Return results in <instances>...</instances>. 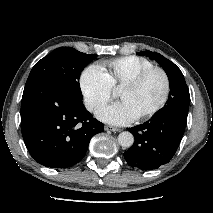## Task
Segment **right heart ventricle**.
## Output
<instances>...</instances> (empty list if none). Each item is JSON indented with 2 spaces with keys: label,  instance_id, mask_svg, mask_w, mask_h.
Listing matches in <instances>:
<instances>
[{
  "label": "right heart ventricle",
  "instance_id": "right-heart-ventricle-1",
  "mask_svg": "<svg viewBox=\"0 0 213 213\" xmlns=\"http://www.w3.org/2000/svg\"><path fill=\"white\" fill-rule=\"evenodd\" d=\"M103 67L112 88L116 89L138 73L154 67V64L143 57L130 55L106 61Z\"/></svg>",
  "mask_w": 213,
  "mask_h": 213
}]
</instances>
